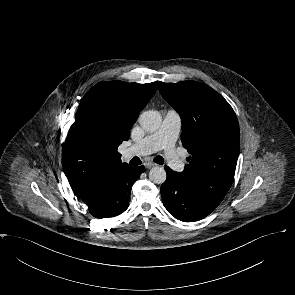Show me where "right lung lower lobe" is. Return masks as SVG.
Returning <instances> with one entry per match:
<instances>
[{
  "label": "right lung lower lobe",
  "mask_w": 295,
  "mask_h": 295,
  "mask_svg": "<svg viewBox=\"0 0 295 295\" xmlns=\"http://www.w3.org/2000/svg\"><path fill=\"white\" fill-rule=\"evenodd\" d=\"M144 171V166L126 165L100 175L89 184L80 198L96 218L117 216L128 208L131 187Z\"/></svg>",
  "instance_id": "right-lung-lower-lobe-1"
}]
</instances>
